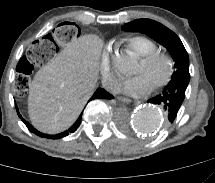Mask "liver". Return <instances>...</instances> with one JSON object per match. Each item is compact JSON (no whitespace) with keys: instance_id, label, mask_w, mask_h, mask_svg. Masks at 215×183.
Returning <instances> with one entry per match:
<instances>
[{"instance_id":"obj_1","label":"liver","mask_w":215,"mask_h":183,"mask_svg":"<svg viewBox=\"0 0 215 183\" xmlns=\"http://www.w3.org/2000/svg\"><path fill=\"white\" fill-rule=\"evenodd\" d=\"M102 46L96 35L81 36L36 73L28 96V113L36 129L56 134L76 121L95 90Z\"/></svg>"}]
</instances>
